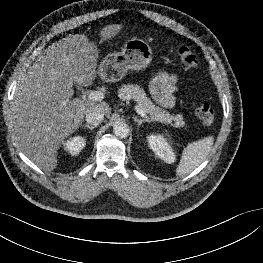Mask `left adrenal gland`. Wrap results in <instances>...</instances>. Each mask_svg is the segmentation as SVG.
<instances>
[{
    "label": "left adrenal gland",
    "instance_id": "obj_1",
    "mask_svg": "<svg viewBox=\"0 0 263 263\" xmlns=\"http://www.w3.org/2000/svg\"><path fill=\"white\" fill-rule=\"evenodd\" d=\"M134 121L137 123V126L139 127L142 123L148 122L150 123V121L148 119H142V118H137L136 116L133 117Z\"/></svg>",
    "mask_w": 263,
    "mask_h": 263
}]
</instances>
